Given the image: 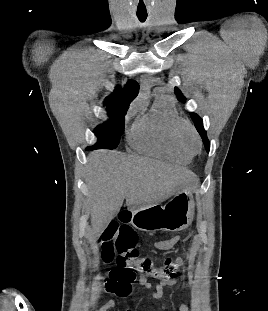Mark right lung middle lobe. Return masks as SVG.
Here are the masks:
<instances>
[{"instance_id": "1", "label": "right lung middle lobe", "mask_w": 268, "mask_h": 311, "mask_svg": "<svg viewBox=\"0 0 268 311\" xmlns=\"http://www.w3.org/2000/svg\"><path fill=\"white\" fill-rule=\"evenodd\" d=\"M126 112L107 109V115L110 117L107 122L98 125L94 132L97 135V142L93 146L87 147V150L94 149H115L120 137L124 132V116Z\"/></svg>"}]
</instances>
